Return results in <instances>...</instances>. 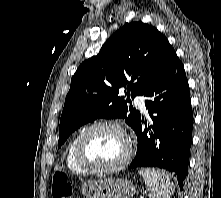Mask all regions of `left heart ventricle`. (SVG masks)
Returning a JSON list of instances; mask_svg holds the SVG:
<instances>
[{"instance_id": "left-heart-ventricle-1", "label": "left heart ventricle", "mask_w": 221, "mask_h": 198, "mask_svg": "<svg viewBox=\"0 0 221 198\" xmlns=\"http://www.w3.org/2000/svg\"><path fill=\"white\" fill-rule=\"evenodd\" d=\"M126 141L114 129L101 128L92 131L84 140L83 155L92 165L107 167L116 164L124 156Z\"/></svg>"}]
</instances>
